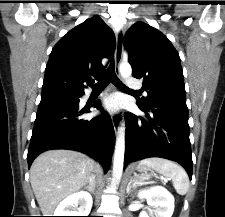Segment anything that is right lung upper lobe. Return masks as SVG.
Returning <instances> with one entry per match:
<instances>
[{
  "instance_id": "obj_1",
  "label": "right lung upper lobe",
  "mask_w": 225,
  "mask_h": 217,
  "mask_svg": "<svg viewBox=\"0 0 225 217\" xmlns=\"http://www.w3.org/2000/svg\"><path fill=\"white\" fill-rule=\"evenodd\" d=\"M115 48L113 31L94 16L70 30L54 46L45 69L42 96L82 94L84 83L99 80L105 70L101 63Z\"/></svg>"
}]
</instances>
